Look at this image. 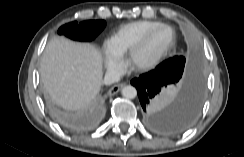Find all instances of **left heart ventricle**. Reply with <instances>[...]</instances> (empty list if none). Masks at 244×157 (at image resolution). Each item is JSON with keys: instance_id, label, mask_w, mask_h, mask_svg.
I'll return each mask as SVG.
<instances>
[{"instance_id": "obj_1", "label": "left heart ventricle", "mask_w": 244, "mask_h": 157, "mask_svg": "<svg viewBox=\"0 0 244 157\" xmlns=\"http://www.w3.org/2000/svg\"><path fill=\"white\" fill-rule=\"evenodd\" d=\"M172 38L173 32L169 28H161L154 32L141 51L137 54L136 63L144 64L153 60L170 44Z\"/></svg>"}]
</instances>
